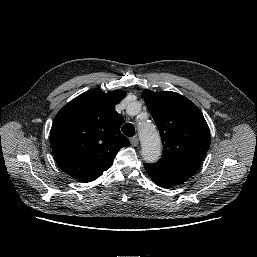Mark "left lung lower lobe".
<instances>
[{
	"label": "left lung lower lobe",
	"mask_w": 257,
	"mask_h": 257,
	"mask_svg": "<svg viewBox=\"0 0 257 257\" xmlns=\"http://www.w3.org/2000/svg\"><path fill=\"white\" fill-rule=\"evenodd\" d=\"M145 169L155 184L161 187H173L185 182L188 178L156 169L151 164H144Z\"/></svg>",
	"instance_id": "left-lung-lower-lobe-1"
}]
</instances>
